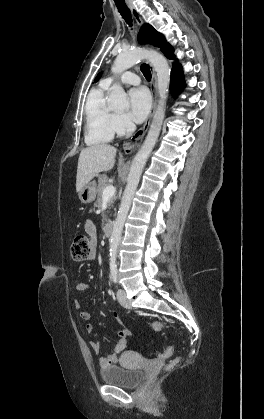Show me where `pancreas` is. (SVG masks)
Returning <instances> with one entry per match:
<instances>
[{
	"mask_svg": "<svg viewBox=\"0 0 264 419\" xmlns=\"http://www.w3.org/2000/svg\"><path fill=\"white\" fill-rule=\"evenodd\" d=\"M109 185H110V182L108 180V177L105 174H102V175L98 176V186H97L98 197H97V200L95 202L96 207H101L102 200H103V191ZM115 200H116V197L112 196L108 200V205L109 206L113 205Z\"/></svg>",
	"mask_w": 264,
	"mask_h": 419,
	"instance_id": "obj_1",
	"label": "pancreas"
}]
</instances>
